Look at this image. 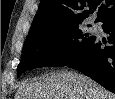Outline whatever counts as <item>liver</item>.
<instances>
[{
  "label": "liver",
  "instance_id": "obj_1",
  "mask_svg": "<svg viewBox=\"0 0 115 99\" xmlns=\"http://www.w3.org/2000/svg\"><path fill=\"white\" fill-rule=\"evenodd\" d=\"M15 99H115V95L87 76L54 72L19 86Z\"/></svg>",
  "mask_w": 115,
  "mask_h": 99
}]
</instances>
